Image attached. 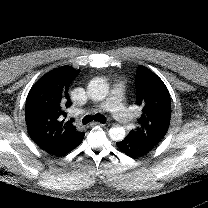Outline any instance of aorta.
<instances>
[{"instance_id":"762f6f07","label":"aorta","mask_w":208,"mask_h":208,"mask_svg":"<svg viewBox=\"0 0 208 208\" xmlns=\"http://www.w3.org/2000/svg\"><path fill=\"white\" fill-rule=\"evenodd\" d=\"M108 84L102 78H95L88 84V93L91 99L103 100L108 94ZM109 136L112 140L121 141L125 138V129L121 126L110 128Z\"/></svg>"}]
</instances>
